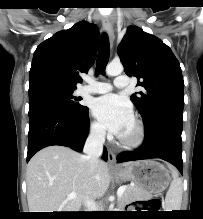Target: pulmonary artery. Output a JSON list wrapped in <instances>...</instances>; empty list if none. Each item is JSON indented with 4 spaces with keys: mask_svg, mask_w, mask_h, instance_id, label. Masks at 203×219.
Returning <instances> with one entry per match:
<instances>
[{
    "mask_svg": "<svg viewBox=\"0 0 203 219\" xmlns=\"http://www.w3.org/2000/svg\"><path fill=\"white\" fill-rule=\"evenodd\" d=\"M129 85V78L127 76L121 75L116 77L114 81V86L117 88H125ZM112 85L106 82H89L80 88L79 92L81 94H104L112 90Z\"/></svg>",
    "mask_w": 203,
    "mask_h": 219,
    "instance_id": "1",
    "label": "pulmonary artery"
}]
</instances>
